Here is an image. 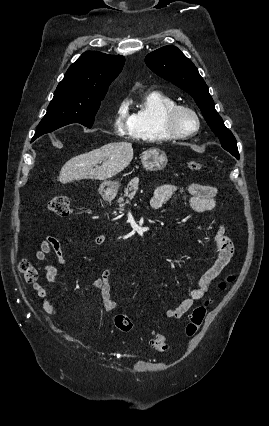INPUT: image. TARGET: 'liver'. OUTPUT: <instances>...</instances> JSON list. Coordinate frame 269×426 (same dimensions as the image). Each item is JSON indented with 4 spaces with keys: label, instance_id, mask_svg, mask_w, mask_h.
Here are the masks:
<instances>
[{
    "label": "liver",
    "instance_id": "6515ba94",
    "mask_svg": "<svg viewBox=\"0 0 269 426\" xmlns=\"http://www.w3.org/2000/svg\"><path fill=\"white\" fill-rule=\"evenodd\" d=\"M133 159L129 142H114L68 160L59 173L62 184L83 179L106 180L123 171Z\"/></svg>",
    "mask_w": 269,
    "mask_h": 426
}]
</instances>
